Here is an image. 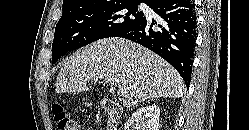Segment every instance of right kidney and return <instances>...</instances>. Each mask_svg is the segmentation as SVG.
<instances>
[{
  "label": "right kidney",
  "mask_w": 249,
  "mask_h": 130,
  "mask_svg": "<svg viewBox=\"0 0 249 130\" xmlns=\"http://www.w3.org/2000/svg\"><path fill=\"white\" fill-rule=\"evenodd\" d=\"M160 108L153 104L141 107L128 119L124 130H158Z\"/></svg>",
  "instance_id": "right-kidney-1"
}]
</instances>
